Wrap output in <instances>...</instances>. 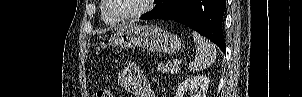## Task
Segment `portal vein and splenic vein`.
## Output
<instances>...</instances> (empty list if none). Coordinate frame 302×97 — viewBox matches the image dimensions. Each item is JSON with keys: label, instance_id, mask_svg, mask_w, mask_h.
Here are the masks:
<instances>
[{"label": "portal vein and splenic vein", "instance_id": "obj_1", "mask_svg": "<svg viewBox=\"0 0 302 97\" xmlns=\"http://www.w3.org/2000/svg\"><path fill=\"white\" fill-rule=\"evenodd\" d=\"M179 63H180V61H179L178 59H176V60L174 61V65H175V66H178Z\"/></svg>", "mask_w": 302, "mask_h": 97}]
</instances>
